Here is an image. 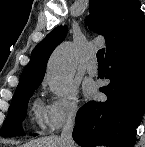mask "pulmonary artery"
Returning <instances> with one entry per match:
<instances>
[{
    "instance_id": "obj_1",
    "label": "pulmonary artery",
    "mask_w": 145,
    "mask_h": 147,
    "mask_svg": "<svg viewBox=\"0 0 145 147\" xmlns=\"http://www.w3.org/2000/svg\"><path fill=\"white\" fill-rule=\"evenodd\" d=\"M86 70H87V73L90 76H96L98 74V67L96 65V58H95V56H92L89 59L88 65L86 67Z\"/></svg>"
}]
</instances>
